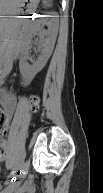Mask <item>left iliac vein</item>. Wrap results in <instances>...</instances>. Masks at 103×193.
I'll return each mask as SVG.
<instances>
[{
    "label": "left iliac vein",
    "instance_id": "obj_1",
    "mask_svg": "<svg viewBox=\"0 0 103 193\" xmlns=\"http://www.w3.org/2000/svg\"><path fill=\"white\" fill-rule=\"evenodd\" d=\"M29 170V162H25L22 166V170H21V175L20 177H24L27 172ZM19 185V182H14L10 185V188L13 189V188H16L17 186Z\"/></svg>",
    "mask_w": 103,
    "mask_h": 193
}]
</instances>
